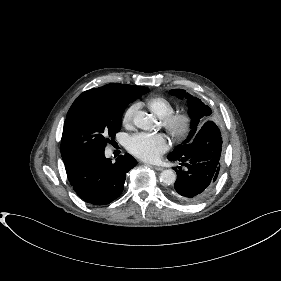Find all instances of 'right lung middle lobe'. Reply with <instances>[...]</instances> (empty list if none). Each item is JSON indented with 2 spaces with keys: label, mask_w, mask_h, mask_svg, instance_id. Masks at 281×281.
<instances>
[{
  "label": "right lung middle lobe",
  "mask_w": 281,
  "mask_h": 281,
  "mask_svg": "<svg viewBox=\"0 0 281 281\" xmlns=\"http://www.w3.org/2000/svg\"><path fill=\"white\" fill-rule=\"evenodd\" d=\"M143 88L127 100L108 99L93 90L83 92L70 107L64 123L61 155L65 166L79 157L101 152L121 129L127 105L147 93Z\"/></svg>",
  "instance_id": "dd1d6c3e"
}]
</instances>
